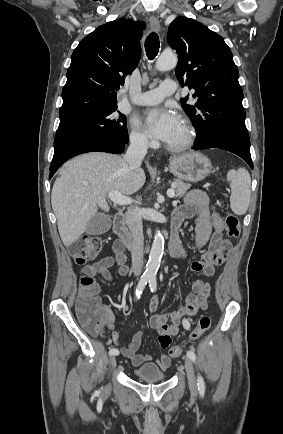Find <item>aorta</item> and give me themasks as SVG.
Wrapping results in <instances>:
<instances>
[{
	"label": "aorta",
	"instance_id": "aorta-1",
	"mask_svg": "<svg viewBox=\"0 0 283 434\" xmlns=\"http://www.w3.org/2000/svg\"><path fill=\"white\" fill-rule=\"evenodd\" d=\"M178 59L174 54H161L156 61L155 67L159 71H167L177 65ZM164 252V238L160 231L156 230L154 241L149 253V260L146 264V275L155 277L161 263Z\"/></svg>",
	"mask_w": 283,
	"mask_h": 434
}]
</instances>
